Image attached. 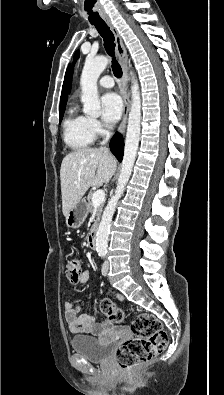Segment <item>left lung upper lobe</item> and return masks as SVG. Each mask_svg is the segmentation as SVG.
<instances>
[{
  "mask_svg": "<svg viewBox=\"0 0 224 395\" xmlns=\"http://www.w3.org/2000/svg\"><path fill=\"white\" fill-rule=\"evenodd\" d=\"M78 57H79V51H77V52L75 53V56H74V63L76 62V60H77Z\"/></svg>",
  "mask_w": 224,
  "mask_h": 395,
  "instance_id": "obj_1",
  "label": "left lung upper lobe"
}]
</instances>
